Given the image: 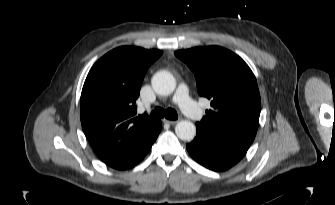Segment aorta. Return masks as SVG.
I'll return each instance as SVG.
<instances>
[{"label":"aorta","instance_id":"762f6f07","mask_svg":"<svg viewBox=\"0 0 335 205\" xmlns=\"http://www.w3.org/2000/svg\"><path fill=\"white\" fill-rule=\"evenodd\" d=\"M152 87L159 95H170L176 87L174 76L168 71H158L152 77ZM176 135L183 141H192L196 135L195 125L187 120H182L175 127Z\"/></svg>","mask_w":335,"mask_h":205}]
</instances>
